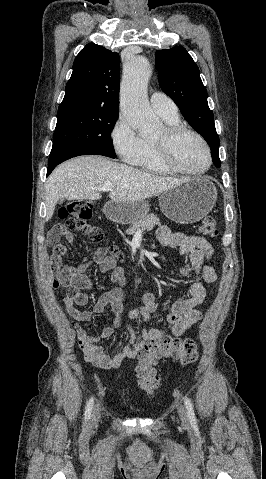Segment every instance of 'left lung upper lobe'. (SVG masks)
<instances>
[{
    "label": "left lung upper lobe",
    "mask_w": 266,
    "mask_h": 479,
    "mask_svg": "<svg viewBox=\"0 0 266 479\" xmlns=\"http://www.w3.org/2000/svg\"><path fill=\"white\" fill-rule=\"evenodd\" d=\"M155 59L161 89L178 105L186 121L207 141L213 163L219 168V136L198 66L183 46L158 50Z\"/></svg>",
    "instance_id": "5c2ea615"
}]
</instances>
